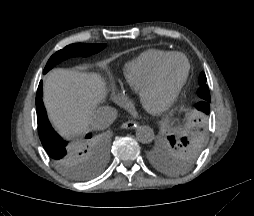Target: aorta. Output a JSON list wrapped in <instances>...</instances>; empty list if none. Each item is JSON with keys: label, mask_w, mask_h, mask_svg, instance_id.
I'll use <instances>...</instances> for the list:
<instances>
[{"label": "aorta", "mask_w": 254, "mask_h": 216, "mask_svg": "<svg viewBox=\"0 0 254 216\" xmlns=\"http://www.w3.org/2000/svg\"><path fill=\"white\" fill-rule=\"evenodd\" d=\"M136 138L142 144L151 143L154 139V131L151 127L143 125L136 129Z\"/></svg>", "instance_id": "obj_1"}]
</instances>
